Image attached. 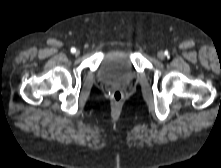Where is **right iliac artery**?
I'll list each match as a JSON object with an SVG mask.
<instances>
[{"label":"right iliac artery","mask_w":221,"mask_h":168,"mask_svg":"<svg viewBox=\"0 0 221 168\" xmlns=\"http://www.w3.org/2000/svg\"><path fill=\"white\" fill-rule=\"evenodd\" d=\"M71 52L72 53H75L76 52V49L73 47V48H71Z\"/></svg>","instance_id":"1"}]
</instances>
